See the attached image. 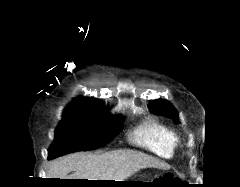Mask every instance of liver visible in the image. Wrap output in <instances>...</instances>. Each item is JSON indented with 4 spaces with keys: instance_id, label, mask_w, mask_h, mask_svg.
I'll return each mask as SVG.
<instances>
[{
    "instance_id": "liver-1",
    "label": "liver",
    "mask_w": 240,
    "mask_h": 187,
    "mask_svg": "<svg viewBox=\"0 0 240 187\" xmlns=\"http://www.w3.org/2000/svg\"><path fill=\"white\" fill-rule=\"evenodd\" d=\"M166 169L158 159L134 150H115L102 154L77 152L50 163L48 178L124 181L144 168ZM70 172H73L68 176Z\"/></svg>"
}]
</instances>
